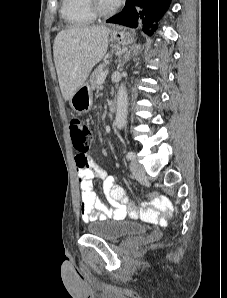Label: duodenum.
Here are the masks:
<instances>
[{"label": "duodenum", "instance_id": "410a0bca", "mask_svg": "<svg viewBox=\"0 0 227 298\" xmlns=\"http://www.w3.org/2000/svg\"><path fill=\"white\" fill-rule=\"evenodd\" d=\"M116 109H117V103L116 101L113 100L109 103V111L111 114H113L115 113Z\"/></svg>", "mask_w": 227, "mask_h": 298}]
</instances>
